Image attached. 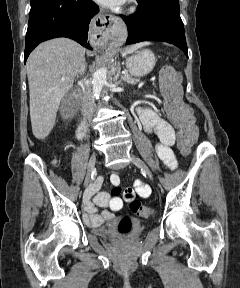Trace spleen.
<instances>
[{
  "label": "spleen",
  "instance_id": "obj_1",
  "mask_svg": "<svg viewBox=\"0 0 240 288\" xmlns=\"http://www.w3.org/2000/svg\"><path fill=\"white\" fill-rule=\"evenodd\" d=\"M151 43L149 41H144V42H140V43H137L133 46H131L128 50H127V53H132L134 51H136L137 49L143 47V46H147V45H150Z\"/></svg>",
  "mask_w": 240,
  "mask_h": 288
}]
</instances>
